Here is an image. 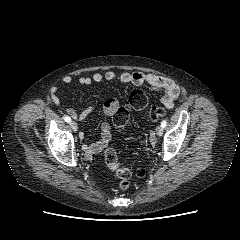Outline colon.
Returning a JSON list of instances; mask_svg holds the SVG:
<instances>
[{"instance_id":"1","label":"colon","mask_w":240,"mask_h":240,"mask_svg":"<svg viewBox=\"0 0 240 240\" xmlns=\"http://www.w3.org/2000/svg\"><path fill=\"white\" fill-rule=\"evenodd\" d=\"M148 99L145 93L139 90L132 91L124 106H120L113 115V124L117 129H122L126 126L130 110H142L146 108ZM166 115V110L160 106H153L150 108L149 117L152 120H158ZM106 165L110 170L116 173L120 181L118 186L121 190H127L130 186V179L135 174L139 177L144 176L143 169L133 171L131 168L121 166L118 159V154L115 149L108 148L104 153Z\"/></svg>"}]
</instances>
